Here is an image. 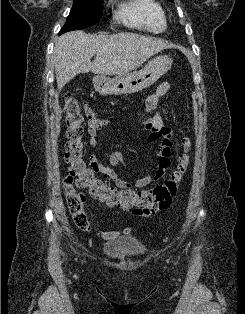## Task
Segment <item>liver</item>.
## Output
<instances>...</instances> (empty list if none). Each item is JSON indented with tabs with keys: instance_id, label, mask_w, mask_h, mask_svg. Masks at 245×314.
Listing matches in <instances>:
<instances>
[{
	"instance_id": "6515ba94",
	"label": "liver",
	"mask_w": 245,
	"mask_h": 314,
	"mask_svg": "<svg viewBox=\"0 0 245 314\" xmlns=\"http://www.w3.org/2000/svg\"><path fill=\"white\" fill-rule=\"evenodd\" d=\"M172 44L137 33L88 35L72 31L57 38L52 59L60 91L80 73L123 75ZM96 55L94 62L91 58Z\"/></svg>"
}]
</instances>
